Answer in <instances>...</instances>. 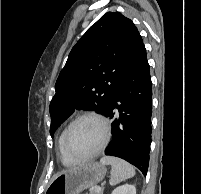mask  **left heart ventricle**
Wrapping results in <instances>:
<instances>
[{
  "label": "left heart ventricle",
  "instance_id": "1",
  "mask_svg": "<svg viewBox=\"0 0 201 194\" xmlns=\"http://www.w3.org/2000/svg\"><path fill=\"white\" fill-rule=\"evenodd\" d=\"M104 138L102 125L93 119L77 122L68 137V149L76 156H84L95 151Z\"/></svg>",
  "mask_w": 201,
  "mask_h": 194
}]
</instances>
